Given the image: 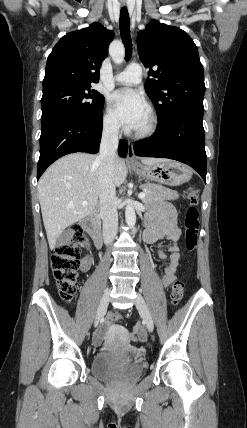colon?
Instances as JSON below:
<instances>
[{
  "instance_id": "colon-1",
  "label": "colon",
  "mask_w": 247,
  "mask_h": 428,
  "mask_svg": "<svg viewBox=\"0 0 247 428\" xmlns=\"http://www.w3.org/2000/svg\"><path fill=\"white\" fill-rule=\"evenodd\" d=\"M187 199L189 207L184 220V246L187 251L191 252L196 248L199 230V201L196 191L193 189L188 190ZM87 241L88 237L84 229L79 225H74L70 228L67 238L57 246L51 256V267L58 292L65 302H71L76 294L80 264L79 251ZM183 294L184 283L175 281L170 293L173 305L180 303ZM123 319L124 314L116 312H111L107 317L109 322ZM141 332L139 328L138 333L141 334Z\"/></svg>"
}]
</instances>
